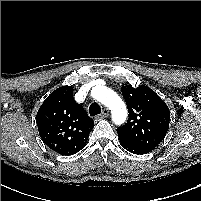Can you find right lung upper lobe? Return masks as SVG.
Instances as JSON below:
<instances>
[{
  "label": "right lung upper lobe",
  "instance_id": "obj_1",
  "mask_svg": "<svg viewBox=\"0 0 201 201\" xmlns=\"http://www.w3.org/2000/svg\"><path fill=\"white\" fill-rule=\"evenodd\" d=\"M43 142L53 151L72 155L86 145L94 124L83 107L73 99V88L62 86L43 102L36 115Z\"/></svg>",
  "mask_w": 201,
  "mask_h": 201
}]
</instances>
